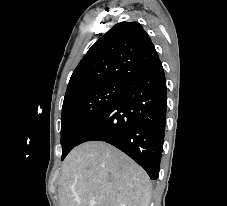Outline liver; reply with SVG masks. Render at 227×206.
Segmentation results:
<instances>
[{
    "mask_svg": "<svg viewBox=\"0 0 227 206\" xmlns=\"http://www.w3.org/2000/svg\"><path fill=\"white\" fill-rule=\"evenodd\" d=\"M58 193L60 206H149L152 185L127 155L105 142L90 141L66 157Z\"/></svg>",
    "mask_w": 227,
    "mask_h": 206,
    "instance_id": "6515ba94",
    "label": "liver"
}]
</instances>
